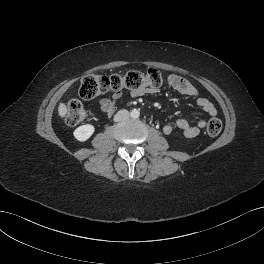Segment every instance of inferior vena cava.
Listing matches in <instances>:
<instances>
[{"label":"inferior vena cava","instance_id":"1","mask_svg":"<svg viewBox=\"0 0 264 264\" xmlns=\"http://www.w3.org/2000/svg\"><path fill=\"white\" fill-rule=\"evenodd\" d=\"M129 118L128 110H120L114 116V121L118 122Z\"/></svg>","mask_w":264,"mask_h":264}]
</instances>
